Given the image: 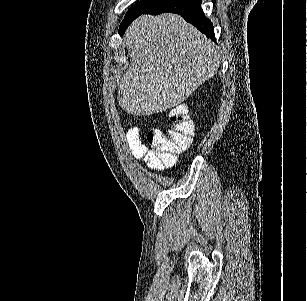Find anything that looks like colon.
<instances>
[{"instance_id": "5ec220e1", "label": "colon", "mask_w": 307, "mask_h": 301, "mask_svg": "<svg viewBox=\"0 0 307 301\" xmlns=\"http://www.w3.org/2000/svg\"><path fill=\"white\" fill-rule=\"evenodd\" d=\"M169 120L166 131L152 130L147 137L151 150L167 167L176 163L177 155L191 145L194 136V124L186 105L173 107L169 111Z\"/></svg>"}]
</instances>
